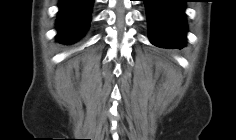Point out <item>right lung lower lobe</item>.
Listing matches in <instances>:
<instances>
[{"label":"right lung lower lobe","mask_w":236,"mask_h":140,"mask_svg":"<svg viewBox=\"0 0 236 140\" xmlns=\"http://www.w3.org/2000/svg\"><path fill=\"white\" fill-rule=\"evenodd\" d=\"M93 0H60L56 20L57 40L71 44L79 40L89 27Z\"/></svg>","instance_id":"right-lung-lower-lobe-1"}]
</instances>
